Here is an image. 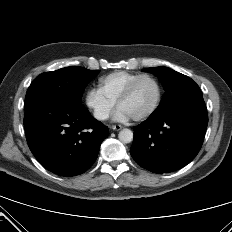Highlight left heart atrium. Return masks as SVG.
Returning a JSON list of instances; mask_svg holds the SVG:
<instances>
[{"mask_svg": "<svg viewBox=\"0 0 232 232\" xmlns=\"http://www.w3.org/2000/svg\"><path fill=\"white\" fill-rule=\"evenodd\" d=\"M132 118V116L122 108H118L114 114V120L117 122H127Z\"/></svg>", "mask_w": 232, "mask_h": 232, "instance_id": "left-heart-atrium-1", "label": "left heart atrium"}]
</instances>
